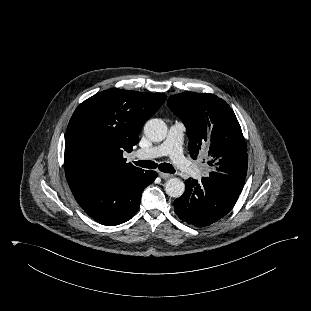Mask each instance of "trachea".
Wrapping results in <instances>:
<instances>
[{"label":"trachea","instance_id":"1","mask_svg":"<svg viewBox=\"0 0 311 311\" xmlns=\"http://www.w3.org/2000/svg\"><path fill=\"white\" fill-rule=\"evenodd\" d=\"M134 164L136 166L142 167V168H149V169H158L162 172L165 173H175L174 167L169 164V163H161L157 164L154 161H149V160H139V161H134Z\"/></svg>","mask_w":311,"mask_h":311}]
</instances>
